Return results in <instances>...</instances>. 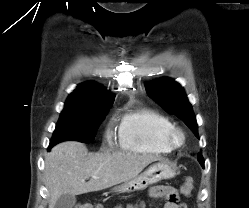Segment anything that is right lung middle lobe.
Here are the masks:
<instances>
[{"instance_id":"obj_1","label":"right lung middle lobe","mask_w":249,"mask_h":208,"mask_svg":"<svg viewBox=\"0 0 249 208\" xmlns=\"http://www.w3.org/2000/svg\"><path fill=\"white\" fill-rule=\"evenodd\" d=\"M107 109L91 107H65L53 133L48 150L55 144L76 140L88 143L94 140L97 128Z\"/></svg>"}]
</instances>
